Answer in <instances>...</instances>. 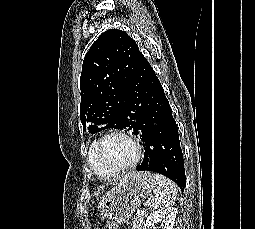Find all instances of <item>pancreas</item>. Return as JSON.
Wrapping results in <instances>:
<instances>
[{
    "instance_id": "cf45deb5",
    "label": "pancreas",
    "mask_w": 255,
    "mask_h": 229,
    "mask_svg": "<svg viewBox=\"0 0 255 229\" xmlns=\"http://www.w3.org/2000/svg\"><path fill=\"white\" fill-rule=\"evenodd\" d=\"M143 220H144L143 215L137 212L136 216L134 217V220L132 221L131 229H143Z\"/></svg>"
}]
</instances>
